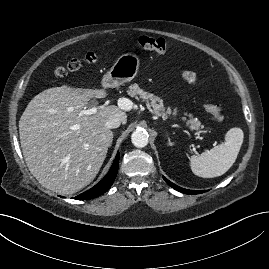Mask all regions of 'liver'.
I'll return each instance as SVG.
<instances>
[{"instance_id": "1", "label": "liver", "mask_w": 269, "mask_h": 269, "mask_svg": "<svg viewBox=\"0 0 269 269\" xmlns=\"http://www.w3.org/2000/svg\"><path fill=\"white\" fill-rule=\"evenodd\" d=\"M104 89L53 87L36 95L19 121L20 143L32 175L47 189L73 194L94 180L112 142L106 123L127 115L109 105L93 115H79L92 98H105Z\"/></svg>"}]
</instances>
